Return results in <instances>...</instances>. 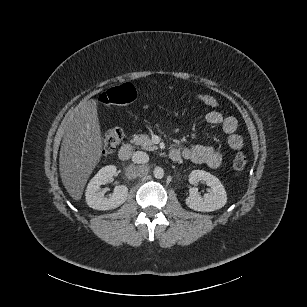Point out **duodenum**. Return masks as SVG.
Returning a JSON list of instances; mask_svg holds the SVG:
<instances>
[{
	"instance_id": "410a0bca",
	"label": "duodenum",
	"mask_w": 307,
	"mask_h": 307,
	"mask_svg": "<svg viewBox=\"0 0 307 307\" xmlns=\"http://www.w3.org/2000/svg\"><path fill=\"white\" fill-rule=\"evenodd\" d=\"M132 151H133V149H132V146L130 144H124L119 149V152H118L119 159L122 160V161H127L131 157ZM169 157L172 160H175L177 158L176 151L175 150H171L169 152Z\"/></svg>"
}]
</instances>
